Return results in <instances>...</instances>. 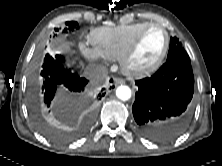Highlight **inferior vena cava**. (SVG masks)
<instances>
[{
	"label": "inferior vena cava",
	"instance_id": "602c4592",
	"mask_svg": "<svg viewBox=\"0 0 222 166\" xmlns=\"http://www.w3.org/2000/svg\"><path fill=\"white\" fill-rule=\"evenodd\" d=\"M108 74V69L102 65H89L86 67L84 75L94 82H101Z\"/></svg>",
	"mask_w": 222,
	"mask_h": 166
}]
</instances>
